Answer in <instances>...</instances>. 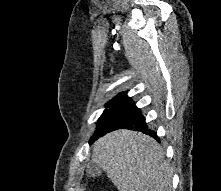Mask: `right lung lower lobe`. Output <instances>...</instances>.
<instances>
[{
  "instance_id": "obj_1",
  "label": "right lung lower lobe",
  "mask_w": 221,
  "mask_h": 191,
  "mask_svg": "<svg viewBox=\"0 0 221 191\" xmlns=\"http://www.w3.org/2000/svg\"><path fill=\"white\" fill-rule=\"evenodd\" d=\"M121 128L141 131L160 142L156 133L147 128V123L140 109L135 106L131 98L125 96L113 105L102 123L100 132L93 139H90V144L99 136Z\"/></svg>"
}]
</instances>
